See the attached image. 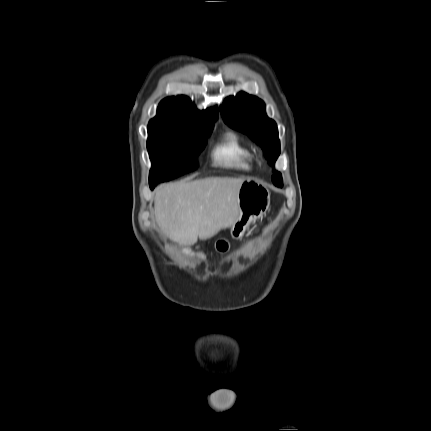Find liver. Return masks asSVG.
I'll use <instances>...</instances> for the list:
<instances>
[{
  "label": "liver",
  "instance_id": "liver-1",
  "mask_svg": "<svg viewBox=\"0 0 431 431\" xmlns=\"http://www.w3.org/2000/svg\"><path fill=\"white\" fill-rule=\"evenodd\" d=\"M245 179L209 177L156 190L155 216L172 240L192 245L231 227L239 217L238 193Z\"/></svg>",
  "mask_w": 431,
  "mask_h": 431
}]
</instances>
